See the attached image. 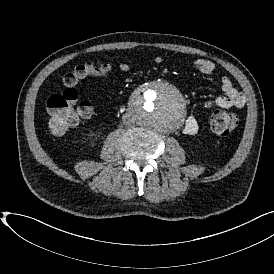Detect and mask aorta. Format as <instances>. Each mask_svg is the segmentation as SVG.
I'll return each instance as SVG.
<instances>
[{
	"mask_svg": "<svg viewBox=\"0 0 274 274\" xmlns=\"http://www.w3.org/2000/svg\"><path fill=\"white\" fill-rule=\"evenodd\" d=\"M130 113L136 124L162 133L177 129L186 115L182 94L163 81L145 84L131 98Z\"/></svg>",
	"mask_w": 274,
	"mask_h": 274,
	"instance_id": "obj_1",
	"label": "aorta"
}]
</instances>
